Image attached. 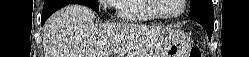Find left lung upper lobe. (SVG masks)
Masks as SVG:
<instances>
[{
    "label": "left lung upper lobe",
    "instance_id": "5c2ea615",
    "mask_svg": "<svg viewBox=\"0 0 249 57\" xmlns=\"http://www.w3.org/2000/svg\"><path fill=\"white\" fill-rule=\"evenodd\" d=\"M190 13L188 17L213 16L212 0H190Z\"/></svg>",
    "mask_w": 249,
    "mask_h": 57
}]
</instances>
